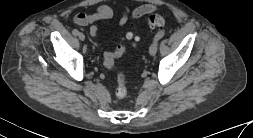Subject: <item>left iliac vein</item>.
Listing matches in <instances>:
<instances>
[{
    "label": "left iliac vein",
    "instance_id": "obj_1",
    "mask_svg": "<svg viewBox=\"0 0 253 138\" xmlns=\"http://www.w3.org/2000/svg\"><path fill=\"white\" fill-rule=\"evenodd\" d=\"M157 46H158V42L156 40H154L149 47V54L151 56H154L156 54Z\"/></svg>",
    "mask_w": 253,
    "mask_h": 138
}]
</instances>
